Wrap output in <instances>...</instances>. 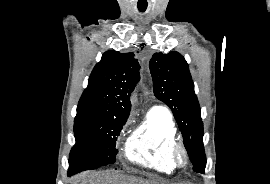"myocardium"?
<instances>
[{
	"label": "myocardium",
	"instance_id": "f54148a6",
	"mask_svg": "<svg viewBox=\"0 0 270 184\" xmlns=\"http://www.w3.org/2000/svg\"><path fill=\"white\" fill-rule=\"evenodd\" d=\"M171 157L175 167H184L189 161V154L186 147L179 142L174 145Z\"/></svg>",
	"mask_w": 270,
	"mask_h": 184
}]
</instances>
